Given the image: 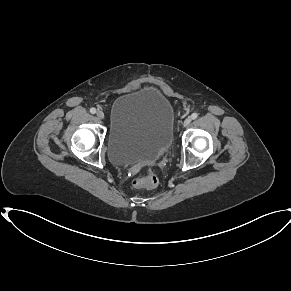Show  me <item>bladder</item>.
<instances>
[{
    "label": "bladder",
    "mask_w": 291,
    "mask_h": 291,
    "mask_svg": "<svg viewBox=\"0 0 291 291\" xmlns=\"http://www.w3.org/2000/svg\"><path fill=\"white\" fill-rule=\"evenodd\" d=\"M173 120L170 101L153 88L119 95L110 109L109 160L117 166L153 160L170 148Z\"/></svg>",
    "instance_id": "31cf9c89"
}]
</instances>
